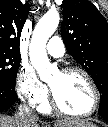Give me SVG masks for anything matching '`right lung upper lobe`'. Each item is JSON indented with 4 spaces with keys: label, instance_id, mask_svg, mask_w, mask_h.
<instances>
[{
    "label": "right lung upper lobe",
    "instance_id": "right-lung-upper-lobe-1",
    "mask_svg": "<svg viewBox=\"0 0 108 127\" xmlns=\"http://www.w3.org/2000/svg\"><path fill=\"white\" fill-rule=\"evenodd\" d=\"M29 4L20 0H0V51L19 54L20 36Z\"/></svg>",
    "mask_w": 108,
    "mask_h": 127
}]
</instances>
